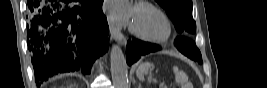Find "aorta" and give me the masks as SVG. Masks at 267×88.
<instances>
[{
	"label": "aorta",
	"instance_id": "aorta-1",
	"mask_svg": "<svg viewBox=\"0 0 267 88\" xmlns=\"http://www.w3.org/2000/svg\"><path fill=\"white\" fill-rule=\"evenodd\" d=\"M110 64L114 88H127L128 67L124 54L118 45L112 46Z\"/></svg>",
	"mask_w": 267,
	"mask_h": 88
}]
</instances>
